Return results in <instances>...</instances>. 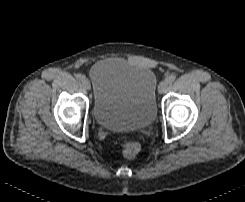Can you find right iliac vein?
<instances>
[{"mask_svg":"<svg viewBox=\"0 0 245 202\" xmlns=\"http://www.w3.org/2000/svg\"><path fill=\"white\" fill-rule=\"evenodd\" d=\"M82 85L87 90H90V88H91L89 80L85 77L82 79Z\"/></svg>","mask_w":245,"mask_h":202,"instance_id":"1","label":"right iliac vein"}]
</instances>
